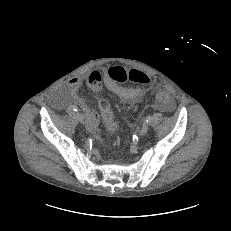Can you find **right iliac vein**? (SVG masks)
<instances>
[{"label": "right iliac vein", "mask_w": 231, "mask_h": 231, "mask_svg": "<svg viewBox=\"0 0 231 231\" xmlns=\"http://www.w3.org/2000/svg\"><path fill=\"white\" fill-rule=\"evenodd\" d=\"M76 117L79 120L80 123L84 124V115L81 113H76Z\"/></svg>", "instance_id": "right-iliac-vein-1"}]
</instances>
